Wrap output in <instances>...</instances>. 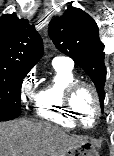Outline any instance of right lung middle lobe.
<instances>
[{"label":"right lung middle lobe","instance_id":"dd1d6c3e","mask_svg":"<svg viewBox=\"0 0 114 156\" xmlns=\"http://www.w3.org/2000/svg\"><path fill=\"white\" fill-rule=\"evenodd\" d=\"M27 73L25 70L0 69V121L20 116L21 84Z\"/></svg>","mask_w":114,"mask_h":156}]
</instances>
